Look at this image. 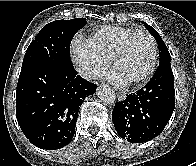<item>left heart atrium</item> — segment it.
Returning <instances> with one entry per match:
<instances>
[{
	"instance_id": "1",
	"label": "left heart atrium",
	"mask_w": 196,
	"mask_h": 166,
	"mask_svg": "<svg viewBox=\"0 0 196 166\" xmlns=\"http://www.w3.org/2000/svg\"><path fill=\"white\" fill-rule=\"evenodd\" d=\"M105 77L118 85H125L128 82L123 79L115 70L108 72Z\"/></svg>"
}]
</instances>
